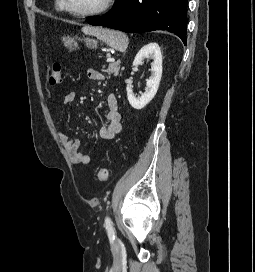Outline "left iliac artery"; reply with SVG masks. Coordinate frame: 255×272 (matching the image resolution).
I'll return each instance as SVG.
<instances>
[{"instance_id": "left-iliac-artery-1", "label": "left iliac artery", "mask_w": 255, "mask_h": 272, "mask_svg": "<svg viewBox=\"0 0 255 272\" xmlns=\"http://www.w3.org/2000/svg\"><path fill=\"white\" fill-rule=\"evenodd\" d=\"M105 228L109 235H114L113 223L108 216L105 218Z\"/></svg>"}]
</instances>
